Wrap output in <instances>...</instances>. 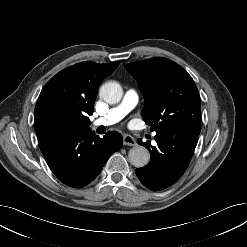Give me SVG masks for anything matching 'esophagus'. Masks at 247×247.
I'll return each mask as SVG.
<instances>
[{
    "instance_id": "1",
    "label": "esophagus",
    "mask_w": 247,
    "mask_h": 247,
    "mask_svg": "<svg viewBox=\"0 0 247 247\" xmlns=\"http://www.w3.org/2000/svg\"><path fill=\"white\" fill-rule=\"evenodd\" d=\"M123 143L124 145H127V146H135L137 144L134 137L129 134L123 135Z\"/></svg>"
}]
</instances>
